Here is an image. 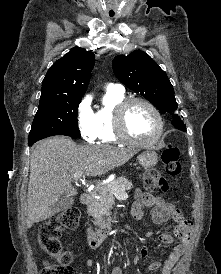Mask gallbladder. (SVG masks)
<instances>
[{
    "mask_svg": "<svg viewBox=\"0 0 221 274\" xmlns=\"http://www.w3.org/2000/svg\"><path fill=\"white\" fill-rule=\"evenodd\" d=\"M74 203V198L72 196L64 195L62 196L57 203L52 206V209L56 211H64L70 208Z\"/></svg>",
    "mask_w": 221,
    "mask_h": 274,
    "instance_id": "obj_1",
    "label": "gallbladder"
}]
</instances>
